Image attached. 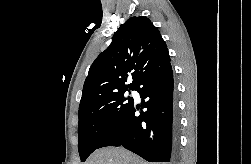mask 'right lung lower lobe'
Listing matches in <instances>:
<instances>
[{"label":"right lung lower lobe","instance_id":"98d812e1","mask_svg":"<svg viewBox=\"0 0 251 164\" xmlns=\"http://www.w3.org/2000/svg\"><path fill=\"white\" fill-rule=\"evenodd\" d=\"M135 90L147 111L136 116L133 104L98 148L123 146L148 162L176 163L178 121L173 110L171 64L148 74Z\"/></svg>","mask_w":251,"mask_h":164}]
</instances>
